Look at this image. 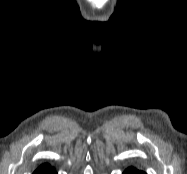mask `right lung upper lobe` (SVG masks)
Instances as JSON below:
<instances>
[{
    "mask_svg": "<svg viewBox=\"0 0 187 174\" xmlns=\"http://www.w3.org/2000/svg\"><path fill=\"white\" fill-rule=\"evenodd\" d=\"M45 172H54V168H51L48 164H43L33 174H43Z\"/></svg>",
    "mask_w": 187,
    "mask_h": 174,
    "instance_id": "right-lung-upper-lobe-1",
    "label": "right lung upper lobe"
}]
</instances>
